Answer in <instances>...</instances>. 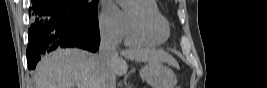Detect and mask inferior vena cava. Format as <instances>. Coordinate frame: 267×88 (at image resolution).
Listing matches in <instances>:
<instances>
[{"label":"inferior vena cava","mask_w":267,"mask_h":88,"mask_svg":"<svg viewBox=\"0 0 267 88\" xmlns=\"http://www.w3.org/2000/svg\"><path fill=\"white\" fill-rule=\"evenodd\" d=\"M99 47V86L98 88H116V77L112 69L113 61L118 57L111 33L102 28L100 30Z\"/></svg>","instance_id":"obj_1"}]
</instances>
